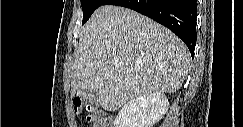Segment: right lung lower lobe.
<instances>
[{
	"label": "right lung lower lobe",
	"mask_w": 243,
	"mask_h": 127,
	"mask_svg": "<svg viewBox=\"0 0 243 127\" xmlns=\"http://www.w3.org/2000/svg\"><path fill=\"white\" fill-rule=\"evenodd\" d=\"M103 5L133 9L166 26L194 54L196 45V0H106Z\"/></svg>",
	"instance_id": "right-lung-lower-lobe-1"
}]
</instances>
